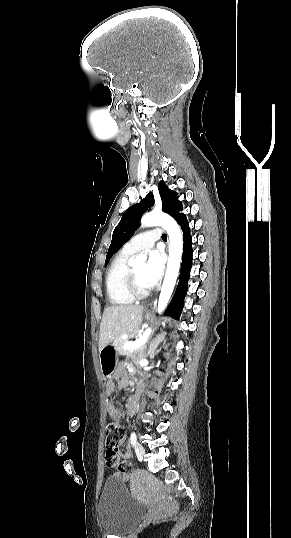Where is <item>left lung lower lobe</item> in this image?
<instances>
[{"label": "left lung lower lobe", "instance_id": "left-lung-lower-lobe-1", "mask_svg": "<svg viewBox=\"0 0 291 538\" xmlns=\"http://www.w3.org/2000/svg\"><path fill=\"white\" fill-rule=\"evenodd\" d=\"M176 221L181 226L182 231H183L184 245H183L182 266H181V273H180L178 287L176 289L174 298L172 302L170 303V305L168 306L165 314L179 318L183 305H184V298L188 290L187 282L190 277L193 250H192V238L190 236V227H189V223L186 219L185 214L181 215Z\"/></svg>", "mask_w": 291, "mask_h": 538}]
</instances>
